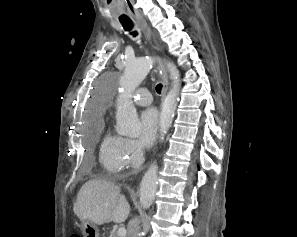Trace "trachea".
<instances>
[{
    "label": "trachea",
    "instance_id": "1",
    "mask_svg": "<svg viewBox=\"0 0 297 237\" xmlns=\"http://www.w3.org/2000/svg\"><path fill=\"white\" fill-rule=\"evenodd\" d=\"M120 22H121L123 28H124L125 30H127V31H131L132 27L134 26L132 20L129 19V18H128V19L121 20ZM131 34H132L133 36H136L138 33L135 31V32H131ZM161 90H162V84L159 83V84L156 86V92H157L158 94H161Z\"/></svg>",
    "mask_w": 297,
    "mask_h": 237
}]
</instances>
